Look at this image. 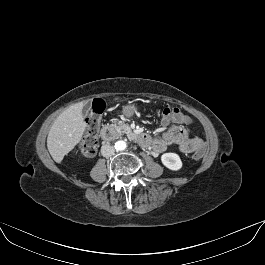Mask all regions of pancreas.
<instances>
[{
  "mask_svg": "<svg viewBox=\"0 0 265 265\" xmlns=\"http://www.w3.org/2000/svg\"><path fill=\"white\" fill-rule=\"evenodd\" d=\"M111 126L114 127L120 135L122 133L129 134L131 132L130 127L127 124H124L121 122H118V123L115 122Z\"/></svg>",
  "mask_w": 265,
  "mask_h": 265,
  "instance_id": "cf45deb5",
  "label": "pancreas"
}]
</instances>
